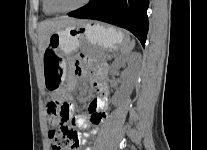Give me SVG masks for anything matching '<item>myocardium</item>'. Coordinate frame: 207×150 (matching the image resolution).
Returning a JSON list of instances; mask_svg holds the SVG:
<instances>
[{
  "label": "myocardium",
  "instance_id": "myocardium-1",
  "mask_svg": "<svg viewBox=\"0 0 207 150\" xmlns=\"http://www.w3.org/2000/svg\"><path fill=\"white\" fill-rule=\"evenodd\" d=\"M90 1L91 0H83L79 5H77L73 8H70V9L63 10V9H59L58 7H56L54 0H47L50 9L52 11H54L55 13H70V12L79 10V9L83 8L84 6H86Z\"/></svg>",
  "mask_w": 207,
  "mask_h": 150
}]
</instances>
